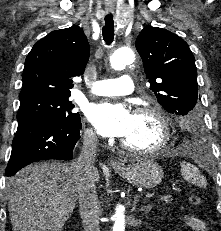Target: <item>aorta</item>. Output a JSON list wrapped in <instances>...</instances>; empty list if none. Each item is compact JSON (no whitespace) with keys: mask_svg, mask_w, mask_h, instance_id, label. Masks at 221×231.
I'll list each match as a JSON object with an SVG mask.
<instances>
[{"mask_svg":"<svg viewBox=\"0 0 221 231\" xmlns=\"http://www.w3.org/2000/svg\"><path fill=\"white\" fill-rule=\"evenodd\" d=\"M135 59L130 48L122 47L115 50L110 56V65L114 70L121 71ZM114 225L112 231H125V214L122 206H117L113 215Z\"/></svg>","mask_w":221,"mask_h":231,"instance_id":"762f6f07","label":"aorta"}]
</instances>
